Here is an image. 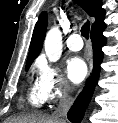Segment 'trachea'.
Segmentation results:
<instances>
[{
    "label": "trachea",
    "mask_w": 118,
    "mask_h": 123,
    "mask_svg": "<svg viewBox=\"0 0 118 123\" xmlns=\"http://www.w3.org/2000/svg\"><path fill=\"white\" fill-rule=\"evenodd\" d=\"M90 23L87 21L81 28V34L85 39H89Z\"/></svg>",
    "instance_id": "1"
}]
</instances>
